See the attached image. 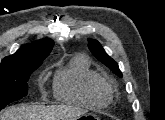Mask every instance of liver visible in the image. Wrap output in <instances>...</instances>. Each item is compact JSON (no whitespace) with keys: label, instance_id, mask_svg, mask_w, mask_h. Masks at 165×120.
<instances>
[{"label":"liver","instance_id":"liver-1","mask_svg":"<svg viewBox=\"0 0 165 120\" xmlns=\"http://www.w3.org/2000/svg\"><path fill=\"white\" fill-rule=\"evenodd\" d=\"M84 113L73 107H45L36 105L12 106L5 110L0 120H66Z\"/></svg>","mask_w":165,"mask_h":120}]
</instances>
